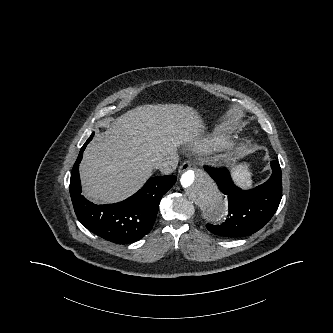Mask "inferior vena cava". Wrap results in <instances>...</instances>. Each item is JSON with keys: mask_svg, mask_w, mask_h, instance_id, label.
<instances>
[{"mask_svg": "<svg viewBox=\"0 0 333 333\" xmlns=\"http://www.w3.org/2000/svg\"><path fill=\"white\" fill-rule=\"evenodd\" d=\"M178 164V159L176 157H170L163 161L155 163V168L160 170L164 174H170L173 172Z\"/></svg>", "mask_w": 333, "mask_h": 333, "instance_id": "inferior-vena-cava-1", "label": "inferior vena cava"}]
</instances>
